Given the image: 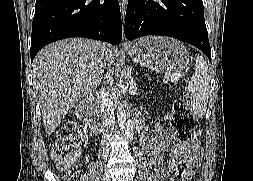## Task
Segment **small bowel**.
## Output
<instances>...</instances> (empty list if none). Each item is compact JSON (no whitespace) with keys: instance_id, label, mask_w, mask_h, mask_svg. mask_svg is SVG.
I'll use <instances>...</instances> for the list:
<instances>
[{"instance_id":"c3829d8e","label":"small bowel","mask_w":253,"mask_h":181,"mask_svg":"<svg viewBox=\"0 0 253 181\" xmlns=\"http://www.w3.org/2000/svg\"><path fill=\"white\" fill-rule=\"evenodd\" d=\"M147 154L156 170L155 180L168 181L181 161L190 160L197 166L202 158V149L197 140L179 141L170 131L163 132L158 126L156 132L149 138ZM165 155L168 157L167 163L164 160ZM192 175L193 173L189 172L186 181H189Z\"/></svg>"}]
</instances>
